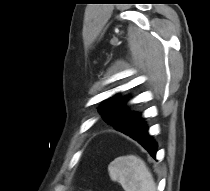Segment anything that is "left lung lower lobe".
Masks as SVG:
<instances>
[{"instance_id": "obj_1", "label": "left lung lower lobe", "mask_w": 210, "mask_h": 191, "mask_svg": "<svg viewBox=\"0 0 210 191\" xmlns=\"http://www.w3.org/2000/svg\"><path fill=\"white\" fill-rule=\"evenodd\" d=\"M141 121L142 118L140 117V114H136ZM147 127L145 126L144 122L142 121V125L131 131L129 134L130 137H132L134 140H136L138 143H140L148 152L149 154L155 158L156 151H157V144L154 142V140L148 135Z\"/></svg>"}]
</instances>
